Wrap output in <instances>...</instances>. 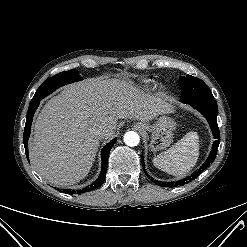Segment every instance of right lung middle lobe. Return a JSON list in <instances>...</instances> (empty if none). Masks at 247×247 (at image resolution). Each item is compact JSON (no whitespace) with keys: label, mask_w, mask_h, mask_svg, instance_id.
I'll return each instance as SVG.
<instances>
[{"label":"right lung middle lobe","mask_w":247,"mask_h":247,"mask_svg":"<svg viewBox=\"0 0 247 247\" xmlns=\"http://www.w3.org/2000/svg\"><path fill=\"white\" fill-rule=\"evenodd\" d=\"M81 80L77 71L68 70L65 72H60L50 78H47L41 86L36 91L31 102H37L42 100L44 97L48 96L54 92L57 88Z\"/></svg>","instance_id":"right-lung-middle-lobe-1"}]
</instances>
